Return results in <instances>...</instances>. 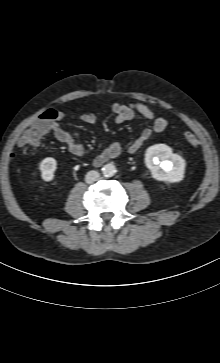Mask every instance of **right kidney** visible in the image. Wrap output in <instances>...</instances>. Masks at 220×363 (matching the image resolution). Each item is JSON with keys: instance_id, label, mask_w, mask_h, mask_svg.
I'll list each match as a JSON object with an SVG mask.
<instances>
[{"instance_id": "ca27d5eb", "label": "right kidney", "mask_w": 220, "mask_h": 363, "mask_svg": "<svg viewBox=\"0 0 220 363\" xmlns=\"http://www.w3.org/2000/svg\"><path fill=\"white\" fill-rule=\"evenodd\" d=\"M41 177L44 181H51L57 168V162L52 157H47L40 163Z\"/></svg>"}]
</instances>
